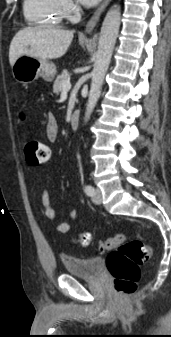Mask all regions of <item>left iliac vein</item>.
I'll return each instance as SVG.
<instances>
[{
    "label": "left iliac vein",
    "instance_id": "left-iliac-vein-1",
    "mask_svg": "<svg viewBox=\"0 0 171 337\" xmlns=\"http://www.w3.org/2000/svg\"><path fill=\"white\" fill-rule=\"evenodd\" d=\"M92 200L96 204H100L102 202V192H101L100 189L97 188L95 190V193H94V196L92 197Z\"/></svg>",
    "mask_w": 171,
    "mask_h": 337
}]
</instances>
